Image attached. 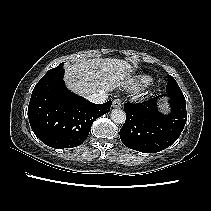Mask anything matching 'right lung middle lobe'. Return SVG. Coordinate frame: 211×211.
<instances>
[{"mask_svg": "<svg viewBox=\"0 0 211 211\" xmlns=\"http://www.w3.org/2000/svg\"><path fill=\"white\" fill-rule=\"evenodd\" d=\"M62 69H63V63H61L58 67L49 70L44 76H48V75L58 72Z\"/></svg>", "mask_w": 211, "mask_h": 211, "instance_id": "1", "label": "right lung middle lobe"}]
</instances>
